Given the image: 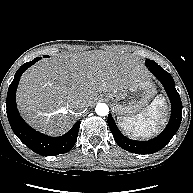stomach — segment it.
Here are the masks:
<instances>
[{"label":"stomach","mask_w":193,"mask_h":193,"mask_svg":"<svg viewBox=\"0 0 193 193\" xmlns=\"http://www.w3.org/2000/svg\"><path fill=\"white\" fill-rule=\"evenodd\" d=\"M153 85L142 75L129 77L119 88L105 94L113 102L118 114H131L139 111L153 96Z\"/></svg>","instance_id":"obj_1"}]
</instances>
